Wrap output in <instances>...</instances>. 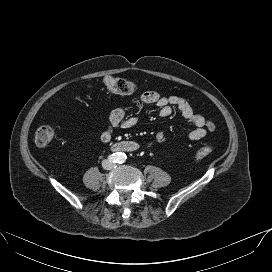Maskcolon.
I'll return each instance as SVG.
<instances>
[{"label":"colon","instance_id":"colon-1","mask_svg":"<svg viewBox=\"0 0 272 272\" xmlns=\"http://www.w3.org/2000/svg\"><path fill=\"white\" fill-rule=\"evenodd\" d=\"M103 84L108 90L116 94L128 95L136 90V85L126 78L106 76L103 79ZM53 138L54 129L51 126L42 125L36 130L34 141L37 146H46L52 142ZM213 151V145H206L198 149L194 157L200 160L209 156Z\"/></svg>","mask_w":272,"mask_h":272}]
</instances>
